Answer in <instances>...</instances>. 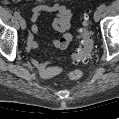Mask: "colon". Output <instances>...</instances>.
<instances>
[{"label":"colon","instance_id":"colon-1","mask_svg":"<svg viewBox=\"0 0 119 119\" xmlns=\"http://www.w3.org/2000/svg\"><path fill=\"white\" fill-rule=\"evenodd\" d=\"M88 25V15H85L82 20V28L79 30L78 35L80 44L72 56L75 62L86 61L91 55L93 40ZM67 77L71 80H78L82 77V71L80 69L71 70L68 72Z\"/></svg>","mask_w":119,"mask_h":119}]
</instances>
